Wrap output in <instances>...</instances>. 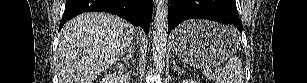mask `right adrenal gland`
<instances>
[{
    "label": "right adrenal gland",
    "mask_w": 307,
    "mask_h": 83,
    "mask_svg": "<svg viewBox=\"0 0 307 83\" xmlns=\"http://www.w3.org/2000/svg\"><path fill=\"white\" fill-rule=\"evenodd\" d=\"M124 59H126L127 61L128 60H131V62L134 64L135 63V59H134V49L133 48H130L128 50V55L126 57H124Z\"/></svg>",
    "instance_id": "obj_1"
}]
</instances>
